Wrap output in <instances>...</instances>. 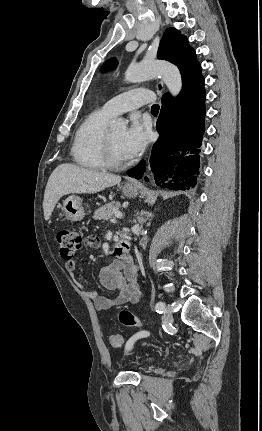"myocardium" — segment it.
<instances>
[{
  "label": "myocardium",
  "instance_id": "f54148a6",
  "mask_svg": "<svg viewBox=\"0 0 262 431\" xmlns=\"http://www.w3.org/2000/svg\"><path fill=\"white\" fill-rule=\"evenodd\" d=\"M104 157L106 165L112 169H123L129 166V161L119 160L114 152L110 132L107 131L104 138Z\"/></svg>",
  "mask_w": 262,
  "mask_h": 431
}]
</instances>
